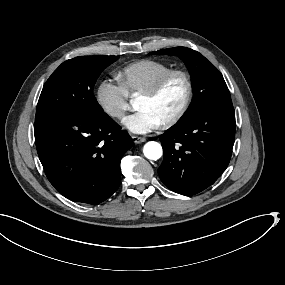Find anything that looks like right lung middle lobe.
<instances>
[{"instance_id":"1","label":"right lung middle lobe","mask_w":285,"mask_h":285,"mask_svg":"<svg viewBox=\"0 0 285 285\" xmlns=\"http://www.w3.org/2000/svg\"><path fill=\"white\" fill-rule=\"evenodd\" d=\"M117 59L80 56L63 62L42 89L35 120L57 112L87 117L104 115L93 96V88L101 72Z\"/></svg>"}]
</instances>
